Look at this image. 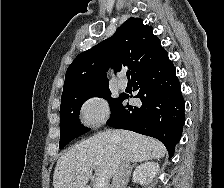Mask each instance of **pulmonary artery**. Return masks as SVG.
I'll use <instances>...</instances> for the list:
<instances>
[{
	"instance_id": "e3ab8cb5",
	"label": "pulmonary artery",
	"mask_w": 224,
	"mask_h": 188,
	"mask_svg": "<svg viewBox=\"0 0 224 188\" xmlns=\"http://www.w3.org/2000/svg\"><path fill=\"white\" fill-rule=\"evenodd\" d=\"M117 84L120 89H125L127 87V80L123 75L118 78Z\"/></svg>"
}]
</instances>
